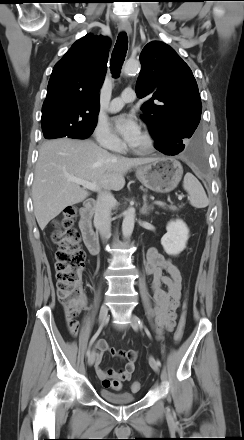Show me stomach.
<instances>
[{
    "label": "stomach",
    "mask_w": 244,
    "mask_h": 440,
    "mask_svg": "<svg viewBox=\"0 0 244 440\" xmlns=\"http://www.w3.org/2000/svg\"><path fill=\"white\" fill-rule=\"evenodd\" d=\"M183 175V167L174 157L162 156L140 166L136 177L148 189L167 193L177 187Z\"/></svg>",
    "instance_id": "stomach-1"
}]
</instances>
